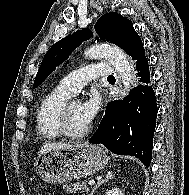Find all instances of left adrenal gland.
Listing matches in <instances>:
<instances>
[{"label": "left adrenal gland", "instance_id": "left-adrenal-gland-1", "mask_svg": "<svg viewBox=\"0 0 189 195\" xmlns=\"http://www.w3.org/2000/svg\"><path fill=\"white\" fill-rule=\"evenodd\" d=\"M114 177V174L111 171H108L106 173V175L103 177V179H101L100 181H98V183L96 184V186H94V188L92 189L90 195H94L95 191L97 190V188H99V186H101L104 182L111 180Z\"/></svg>", "mask_w": 189, "mask_h": 195}]
</instances>
